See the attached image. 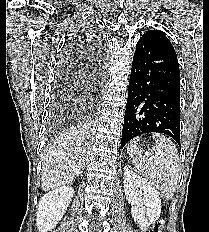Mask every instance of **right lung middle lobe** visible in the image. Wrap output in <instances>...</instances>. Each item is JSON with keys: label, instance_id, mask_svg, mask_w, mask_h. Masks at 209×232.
Masks as SVG:
<instances>
[{"label": "right lung middle lobe", "instance_id": "1", "mask_svg": "<svg viewBox=\"0 0 209 232\" xmlns=\"http://www.w3.org/2000/svg\"><path fill=\"white\" fill-rule=\"evenodd\" d=\"M57 109H58V111L56 110V114L53 117V124L56 126H60V125L64 124V122L66 121V119H65L66 112L60 113L61 105H57Z\"/></svg>", "mask_w": 209, "mask_h": 232}]
</instances>
